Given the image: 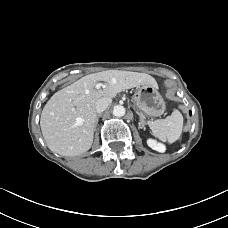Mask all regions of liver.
Here are the masks:
<instances>
[{"label": "liver", "instance_id": "liver-1", "mask_svg": "<svg viewBox=\"0 0 228 228\" xmlns=\"http://www.w3.org/2000/svg\"><path fill=\"white\" fill-rule=\"evenodd\" d=\"M105 82L103 89L96 88ZM140 85L158 87L145 73L107 70L82 77L56 92L46 103L40 118L41 131L48 148L62 156L88 151L93 143L97 113L96 102Z\"/></svg>", "mask_w": 228, "mask_h": 228}]
</instances>
